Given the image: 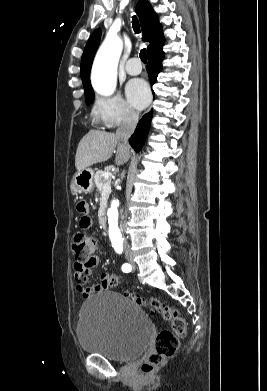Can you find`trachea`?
Listing matches in <instances>:
<instances>
[{
  "label": "trachea",
  "instance_id": "3493384b",
  "mask_svg": "<svg viewBox=\"0 0 267 391\" xmlns=\"http://www.w3.org/2000/svg\"><path fill=\"white\" fill-rule=\"evenodd\" d=\"M132 24H133V29L135 31L136 34H139L140 33V27H139V22H138V19L133 16V20H132ZM140 59L143 63H147V53H146V48H143L141 51H140Z\"/></svg>",
  "mask_w": 267,
  "mask_h": 391
}]
</instances>
